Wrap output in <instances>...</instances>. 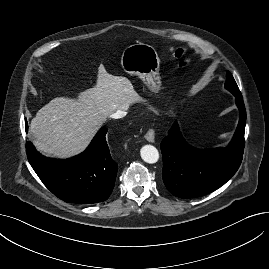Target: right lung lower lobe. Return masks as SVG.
Returning <instances> with one entry per match:
<instances>
[{
	"label": "right lung lower lobe",
	"instance_id": "98d812e1",
	"mask_svg": "<svg viewBox=\"0 0 269 269\" xmlns=\"http://www.w3.org/2000/svg\"><path fill=\"white\" fill-rule=\"evenodd\" d=\"M25 128L27 131V121ZM106 133L102 127L84 152L65 160L46 158L27 141L29 163L44 185L65 202L105 201L113 190L118 169L110 155Z\"/></svg>",
	"mask_w": 269,
	"mask_h": 269
}]
</instances>
